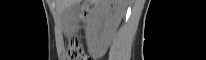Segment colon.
Listing matches in <instances>:
<instances>
[{
  "label": "colon",
  "instance_id": "colon-1",
  "mask_svg": "<svg viewBox=\"0 0 206 60\" xmlns=\"http://www.w3.org/2000/svg\"><path fill=\"white\" fill-rule=\"evenodd\" d=\"M66 56L68 60H90L83 50L79 37H73L68 41Z\"/></svg>",
  "mask_w": 206,
  "mask_h": 60
}]
</instances>
